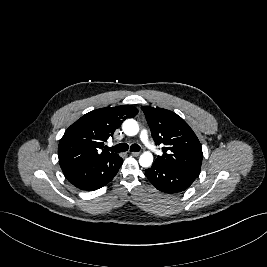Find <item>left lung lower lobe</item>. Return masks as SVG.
<instances>
[{
	"mask_svg": "<svg viewBox=\"0 0 267 267\" xmlns=\"http://www.w3.org/2000/svg\"><path fill=\"white\" fill-rule=\"evenodd\" d=\"M148 180L160 191L173 194L184 191L196 177L165 168L157 163L145 170Z\"/></svg>",
	"mask_w": 267,
	"mask_h": 267,
	"instance_id": "obj_1",
	"label": "left lung lower lobe"
}]
</instances>
